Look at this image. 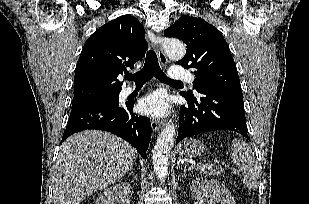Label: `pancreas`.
Segmentation results:
<instances>
[{"mask_svg":"<svg viewBox=\"0 0 309 204\" xmlns=\"http://www.w3.org/2000/svg\"><path fill=\"white\" fill-rule=\"evenodd\" d=\"M197 171L206 175L219 176L223 173L224 169L217 167L214 163H206L195 167Z\"/></svg>","mask_w":309,"mask_h":204,"instance_id":"1","label":"pancreas"}]
</instances>
